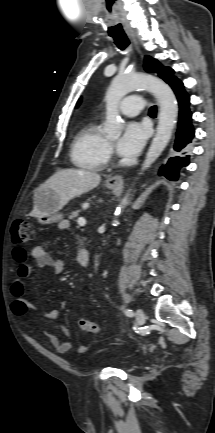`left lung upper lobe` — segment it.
<instances>
[{
  "mask_svg": "<svg viewBox=\"0 0 215 433\" xmlns=\"http://www.w3.org/2000/svg\"><path fill=\"white\" fill-rule=\"evenodd\" d=\"M144 68L147 72L158 73V75L167 83H170L172 79L176 78L173 76L174 71L171 68L162 66L156 59H153L150 56L145 57Z\"/></svg>",
  "mask_w": 215,
  "mask_h": 433,
  "instance_id": "left-lung-upper-lobe-1",
  "label": "left lung upper lobe"
}]
</instances>
